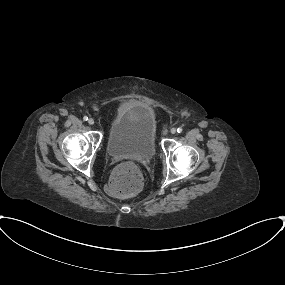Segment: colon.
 I'll use <instances>...</instances> for the list:
<instances>
[{"label":"colon","instance_id":"1","mask_svg":"<svg viewBox=\"0 0 285 285\" xmlns=\"http://www.w3.org/2000/svg\"><path fill=\"white\" fill-rule=\"evenodd\" d=\"M143 186V176L138 167L123 164L116 168L107 183V190L116 197H131L136 195Z\"/></svg>","mask_w":285,"mask_h":285}]
</instances>
